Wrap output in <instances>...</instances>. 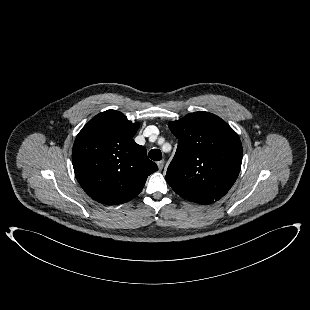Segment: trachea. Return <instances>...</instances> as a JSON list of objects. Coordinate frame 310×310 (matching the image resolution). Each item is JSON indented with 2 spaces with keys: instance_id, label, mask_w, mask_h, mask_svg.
<instances>
[{
  "instance_id": "3493384b",
  "label": "trachea",
  "mask_w": 310,
  "mask_h": 310,
  "mask_svg": "<svg viewBox=\"0 0 310 310\" xmlns=\"http://www.w3.org/2000/svg\"><path fill=\"white\" fill-rule=\"evenodd\" d=\"M148 155L154 161H159L162 159V153L159 149H152Z\"/></svg>"
}]
</instances>
